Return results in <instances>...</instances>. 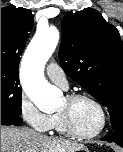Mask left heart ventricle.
Here are the masks:
<instances>
[{
  "label": "left heart ventricle",
  "instance_id": "b2bd125f",
  "mask_svg": "<svg viewBox=\"0 0 123 152\" xmlns=\"http://www.w3.org/2000/svg\"><path fill=\"white\" fill-rule=\"evenodd\" d=\"M70 115L74 128L81 133H91L98 129L101 123V115L98 108L88 100L79 99L69 104L63 99L59 108Z\"/></svg>",
  "mask_w": 123,
  "mask_h": 152
}]
</instances>
